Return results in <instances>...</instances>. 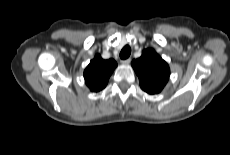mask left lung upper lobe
Returning <instances> with one entry per match:
<instances>
[{
	"label": "left lung upper lobe",
	"mask_w": 230,
	"mask_h": 155,
	"mask_svg": "<svg viewBox=\"0 0 230 155\" xmlns=\"http://www.w3.org/2000/svg\"><path fill=\"white\" fill-rule=\"evenodd\" d=\"M132 67L139 77L140 87L148 94L160 93L169 80L168 64L152 48L133 60Z\"/></svg>",
	"instance_id": "obj_1"
}]
</instances>
